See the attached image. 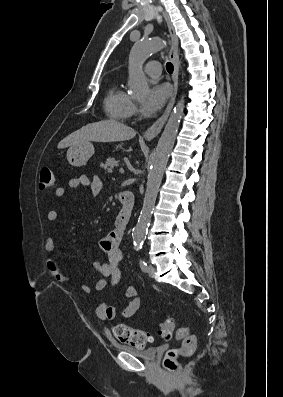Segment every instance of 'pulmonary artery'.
Wrapping results in <instances>:
<instances>
[{"label": "pulmonary artery", "mask_w": 283, "mask_h": 397, "mask_svg": "<svg viewBox=\"0 0 283 397\" xmlns=\"http://www.w3.org/2000/svg\"><path fill=\"white\" fill-rule=\"evenodd\" d=\"M145 72L147 75H149L152 78H157L159 77L161 73V65L157 61H151L146 64L145 66Z\"/></svg>", "instance_id": "pulmonary-artery-1"}]
</instances>
